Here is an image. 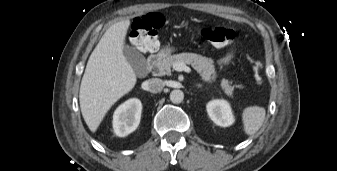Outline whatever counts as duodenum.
<instances>
[{"instance_id":"obj_1","label":"duodenum","mask_w":337,"mask_h":171,"mask_svg":"<svg viewBox=\"0 0 337 171\" xmlns=\"http://www.w3.org/2000/svg\"><path fill=\"white\" fill-rule=\"evenodd\" d=\"M159 53H153L148 56L147 59V66H146V72H150L153 66L156 64V62L160 59Z\"/></svg>"}]
</instances>
